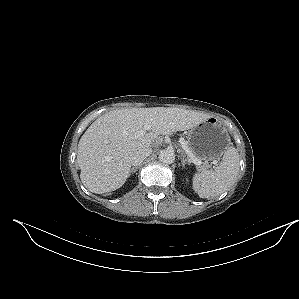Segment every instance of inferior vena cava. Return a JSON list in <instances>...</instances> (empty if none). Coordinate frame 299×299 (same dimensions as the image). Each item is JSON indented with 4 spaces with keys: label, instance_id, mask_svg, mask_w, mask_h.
<instances>
[{
    "label": "inferior vena cava",
    "instance_id": "602c4592",
    "mask_svg": "<svg viewBox=\"0 0 299 299\" xmlns=\"http://www.w3.org/2000/svg\"><path fill=\"white\" fill-rule=\"evenodd\" d=\"M152 153L151 148H144L136 151L131 157V165L139 166L143 160L148 157Z\"/></svg>",
    "mask_w": 299,
    "mask_h": 299
}]
</instances>
